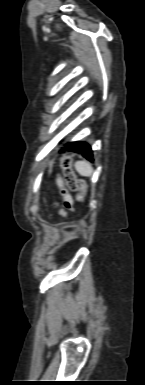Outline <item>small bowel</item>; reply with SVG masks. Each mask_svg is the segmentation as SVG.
<instances>
[{"label": "small bowel", "instance_id": "c3829d8e", "mask_svg": "<svg viewBox=\"0 0 145 385\" xmlns=\"http://www.w3.org/2000/svg\"><path fill=\"white\" fill-rule=\"evenodd\" d=\"M59 212H60V214H61L62 216H65V214H66L65 211H64L63 209H60Z\"/></svg>", "mask_w": 145, "mask_h": 385}]
</instances>
